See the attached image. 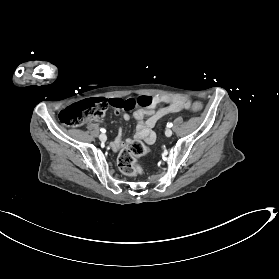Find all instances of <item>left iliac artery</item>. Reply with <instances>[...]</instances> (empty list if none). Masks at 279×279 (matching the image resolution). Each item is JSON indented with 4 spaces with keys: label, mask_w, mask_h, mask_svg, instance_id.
Segmentation results:
<instances>
[{
    "label": "left iliac artery",
    "mask_w": 279,
    "mask_h": 279,
    "mask_svg": "<svg viewBox=\"0 0 279 279\" xmlns=\"http://www.w3.org/2000/svg\"><path fill=\"white\" fill-rule=\"evenodd\" d=\"M173 126V124L171 123V122H169V123H167V127H172Z\"/></svg>",
    "instance_id": "obj_1"
}]
</instances>
